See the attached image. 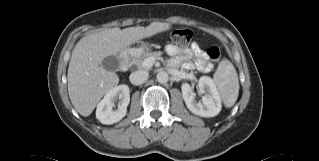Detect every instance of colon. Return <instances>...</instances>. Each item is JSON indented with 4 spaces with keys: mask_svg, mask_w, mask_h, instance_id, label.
<instances>
[{
    "mask_svg": "<svg viewBox=\"0 0 319 161\" xmlns=\"http://www.w3.org/2000/svg\"><path fill=\"white\" fill-rule=\"evenodd\" d=\"M192 33L188 29L175 30L171 34V39L178 44H186L191 40ZM206 56L212 61L220 58V49L217 46L208 47L205 51Z\"/></svg>",
    "mask_w": 319,
    "mask_h": 161,
    "instance_id": "colon-1",
    "label": "colon"
}]
</instances>
